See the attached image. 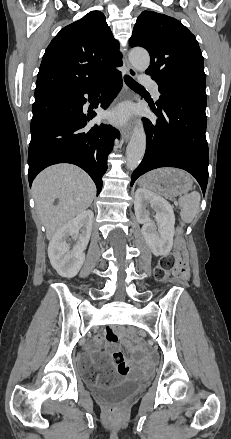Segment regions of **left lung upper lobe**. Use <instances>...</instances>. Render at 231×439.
<instances>
[{"instance_id": "5c2ea615", "label": "left lung upper lobe", "mask_w": 231, "mask_h": 439, "mask_svg": "<svg viewBox=\"0 0 231 439\" xmlns=\"http://www.w3.org/2000/svg\"><path fill=\"white\" fill-rule=\"evenodd\" d=\"M129 44L148 50L151 64L146 74L151 75L159 86L206 88L204 61L198 42L175 18L143 11L137 18Z\"/></svg>"}]
</instances>
